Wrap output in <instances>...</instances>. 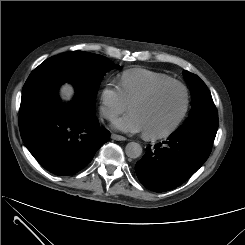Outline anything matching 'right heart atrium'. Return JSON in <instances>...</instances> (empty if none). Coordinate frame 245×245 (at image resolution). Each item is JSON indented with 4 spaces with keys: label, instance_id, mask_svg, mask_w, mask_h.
Returning <instances> with one entry per match:
<instances>
[{
    "label": "right heart atrium",
    "instance_id": "right-heart-atrium-1",
    "mask_svg": "<svg viewBox=\"0 0 245 245\" xmlns=\"http://www.w3.org/2000/svg\"><path fill=\"white\" fill-rule=\"evenodd\" d=\"M128 104L118 86L106 84L100 90L99 108L102 117L113 120L126 111Z\"/></svg>",
    "mask_w": 245,
    "mask_h": 245
}]
</instances>
